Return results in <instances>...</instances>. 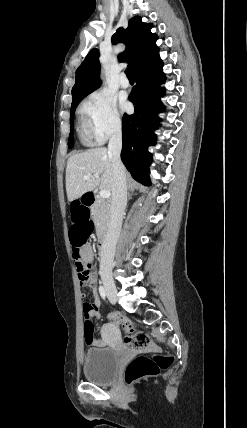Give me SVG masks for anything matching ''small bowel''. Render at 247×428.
<instances>
[{
  "instance_id": "1",
  "label": "small bowel",
  "mask_w": 247,
  "mask_h": 428,
  "mask_svg": "<svg viewBox=\"0 0 247 428\" xmlns=\"http://www.w3.org/2000/svg\"><path fill=\"white\" fill-rule=\"evenodd\" d=\"M81 256H82V259L89 265V277H88V280L86 281H80V284L83 287L90 288L93 293V301L84 303L83 309H84V312L87 313L90 317L97 319L100 317L99 309L101 306V302L97 293V274L93 265V260H94L93 249L89 245L84 246L81 249ZM106 344H107L106 339H97V340L94 339L91 345L104 346Z\"/></svg>"
}]
</instances>
